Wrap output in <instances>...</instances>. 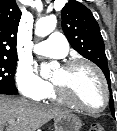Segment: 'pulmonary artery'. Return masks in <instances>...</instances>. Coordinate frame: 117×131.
Wrapping results in <instances>:
<instances>
[{"instance_id":"1","label":"pulmonary artery","mask_w":117,"mask_h":131,"mask_svg":"<svg viewBox=\"0 0 117 131\" xmlns=\"http://www.w3.org/2000/svg\"><path fill=\"white\" fill-rule=\"evenodd\" d=\"M33 51L47 57L62 58L68 53V43L63 34L54 32L46 40L35 44Z\"/></svg>"}]
</instances>
